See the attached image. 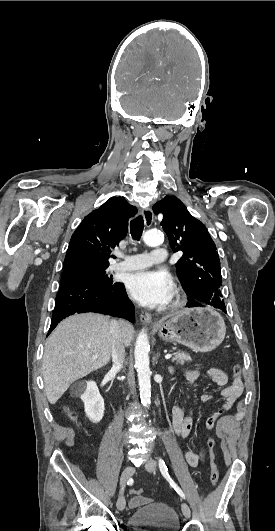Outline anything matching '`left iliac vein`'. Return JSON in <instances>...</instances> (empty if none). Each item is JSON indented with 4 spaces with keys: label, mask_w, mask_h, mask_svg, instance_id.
<instances>
[{
    "label": "left iliac vein",
    "mask_w": 275,
    "mask_h": 531,
    "mask_svg": "<svg viewBox=\"0 0 275 531\" xmlns=\"http://www.w3.org/2000/svg\"><path fill=\"white\" fill-rule=\"evenodd\" d=\"M145 468L150 472V473H153L155 474L156 472V468H157V462L153 459H148L147 462L145 463ZM181 510L184 514V516L189 519L190 516H191V510H190V507L187 503H182L181 504Z\"/></svg>",
    "instance_id": "obj_1"
}]
</instances>
